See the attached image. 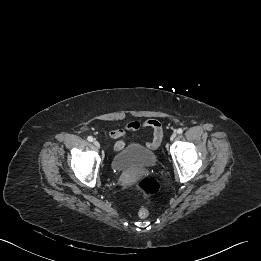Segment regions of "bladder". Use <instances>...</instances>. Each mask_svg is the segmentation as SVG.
Returning a JSON list of instances; mask_svg holds the SVG:
<instances>
[{
	"instance_id": "bladder-1",
	"label": "bladder",
	"mask_w": 261,
	"mask_h": 261,
	"mask_svg": "<svg viewBox=\"0 0 261 261\" xmlns=\"http://www.w3.org/2000/svg\"><path fill=\"white\" fill-rule=\"evenodd\" d=\"M152 149L139 143L128 144L113 156L111 168L115 172L148 168L156 161Z\"/></svg>"
}]
</instances>
